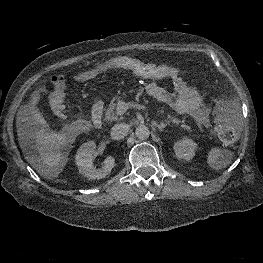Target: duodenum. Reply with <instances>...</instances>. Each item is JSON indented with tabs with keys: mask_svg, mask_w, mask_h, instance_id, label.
Returning a JSON list of instances; mask_svg holds the SVG:
<instances>
[{
	"mask_svg": "<svg viewBox=\"0 0 263 263\" xmlns=\"http://www.w3.org/2000/svg\"><path fill=\"white\" fill-rule=\"evenodd\" d=\"M92 122L95 128H101L103 124V104L95 102L91 109Z\"/></svg>",
	"mask_w": 263,
	"mask_h": 263,
	"instance_id": "obj_1",
	"label": "duodenum"
}]
</instances>
